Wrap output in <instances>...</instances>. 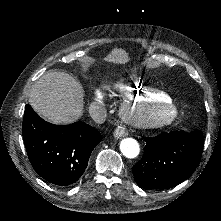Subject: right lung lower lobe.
Segmentation results:
<instances>
[{
    "label": "right lung lower lobe",
    "instance_id": "right-lung-lower-lobe-1",
    "mask_svg": "<svg viewBox=\"0 0 221 221\" xmlns=\"http://www.w3.org/2000/svg\"><path fill=\"white\" fill-rule=\"evenodd\" d=\"M23 140L34 170L48 182L67 186L84 173L90 154L101 141L98 130L86 123L54 125L25 107Z\"/></svg>",
    "mask_w": 221,
    "mask_h": 221
}]
</instances>
